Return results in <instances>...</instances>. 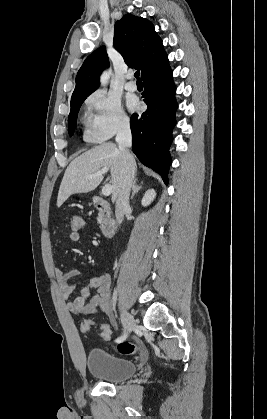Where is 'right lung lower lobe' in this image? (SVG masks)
Masks as SVG:
<instances>
[{"label":"right lung lower lobe","instance_id":"right-lung-lower-lobe-1","mask_svg":"<svg viewBox=\"0 0 267 419\" xmlns=\"http://www.w3.org/2000/svg\"><path fill=\"white\" fill-rule=\"evenodd\" d=\"M142 79L145 87L142 98L148 107L141 115L131 116L132 149L138 159L159 173L167 184L171 165L169 148L177 109L169 61L148 71Z\"/></svg>","mask_w":267,"mask_h":419}]
</instances>
